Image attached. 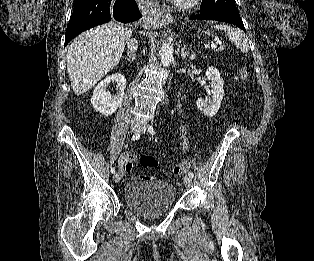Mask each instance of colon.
<instances>
[{
  "mask_svg": "<svg viewBox=\"0 0 314 261\" xmlns=\"http://www.w3.org/2000/svg\"><path fill=\"white\" fill-rule=\"evenodd\" d=\"M241 74H242V77L246 76L244 71ZM137 162L140 166H142L143 168H147V169H153V168H156L158 166L157 160L150 155L138 156ZM189 168H190V162L183 161V162H181L175 166L174 173L175 174H181V173L186 172ZM146 178H148V177H146Z\"/></svg>",
  "mask_w": 314,
  "mask_h": 261,
  "instance_id": "5ec220e1",
  "label": "colon"
}]
</instances>
